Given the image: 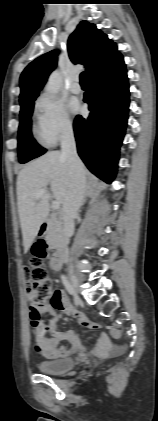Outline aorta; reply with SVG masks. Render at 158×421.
I'll use <instances>...</instances> for the list:
<instances>
[{
	"label": "aorta",
	"instance_id": "762f6f07",
	"mask_svg": "<svg viewBox=\"0 0 158 421\" xmlns=\"http://www.w3.org/2000/svg\"><path fill=\"white\" fill-rule=\"evenodd\" d=\"M61 87V77L57 71H54L48 78L45 90L51 95H57Z\"/></svg>",
	"mask_w": 158,
	"mask_h": 421
}]
</instances>
